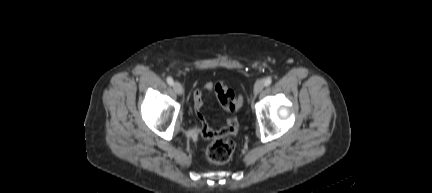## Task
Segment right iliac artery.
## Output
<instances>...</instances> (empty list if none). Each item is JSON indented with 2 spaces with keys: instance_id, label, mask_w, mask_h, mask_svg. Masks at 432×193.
Instances as JSON below:
<instances>
[{
  "instance_id": "right-iliac-artery-1",
  "label": "right iliac artery",
  "mask_w": 432,
  "mask_h": 193,
  "mask_svg": "<svg viewBox=\"0 0 432 193\" xmlns=\"http://www.w3.org/2000/svg\"><path fill=\"white\" fill-rule=\"evenodd\" d=\"M167 83L169 84V85H173V79H172V77H167Z\"/></svg>"
}]
</instances>
